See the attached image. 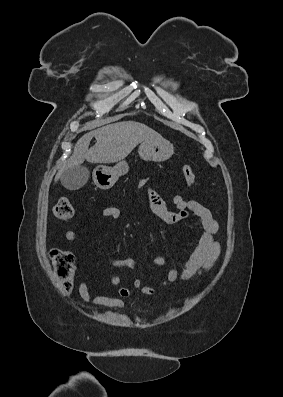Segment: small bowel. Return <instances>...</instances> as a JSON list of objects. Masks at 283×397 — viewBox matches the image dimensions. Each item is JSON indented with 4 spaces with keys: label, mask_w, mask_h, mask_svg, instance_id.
<instances>
[{
    "label": "small bowel",
    "mask_w": 283,
    "mask_h": 397,
    "mask_svg": "<svg viewBox=\"0 0 283 397\" xmlns=\"http://www.w3.org/2000/svg\"><path fill=\"white\" fill-rule=\"evenodd\" d=\"M148 182L149 178H142L138 183V187L146 186ZM148 201L152 211L165 223H179L188 216L189 212H191L198 217L201 228V234L197 246L180 270L171 268L168 271L164 285H170L177 280H187L210 270L220 253V244L216 239L218 222L209 209L195 200H185L182 196L175 195L173 197V202L176 210H170L164 199L152 189H148ZM101 217L108 220H116L120 217V209L115 206L107 207L101 211ZM65 239L68 242L75 241L77 239V232L74 230L67 231ZM109 264L115 268H135V261L130 257L111 260ZM153 264L156 266H163L166 264V259L158 256L154 258ZM109 283L117 287V293L120 297L103 295L92 296L90 294L88 284L85 281L81 282L78 286L79 295L87 303L108 307L115 312H119L125 305L123 298L130 296L132 290L141 289V291L146 295H153L155 293L152 286L143 285L138 279H135L132 282L131 289L122 285L123 281L119 276L110 277Z\"/></svg>",
    "instance_id": "1"
}]
</instances>
